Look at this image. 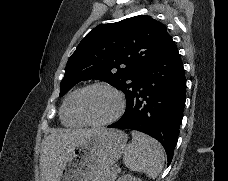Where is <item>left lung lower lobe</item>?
I'll return each instance as SVG.
<instances>
[{
    "instance_id": "1",
    "label": "left lung lower lobe",
    "mask_w": 228,
    "mask_h": 181,
    "mask_svg": "<svg viewBox=\"0 0 228 181\" xmlns=\"http://www.w3.org/2000/svg\"><path fill=\"white\" fill-rule=\"evenodd\" d=\"M185 92L183 64L170 39L137 75L125 113L108 127L138 130L157 139L165 148L169 165L182 122Z\"/></svg>"
}]
</instances>
